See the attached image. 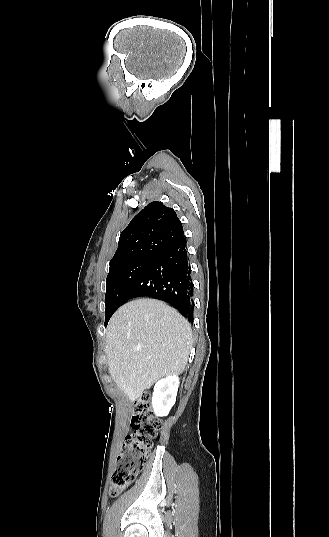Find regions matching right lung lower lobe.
Listing matches in <instances>:
<instances>
[{"label":"right lung lower lobe","mask_w":329,"mask_h":537,"mask_svg":"<svg viewBox=\"0 0 329 537\" xmlns=\"http://www.w3.org/2000/svg\"><path fill=\"white\" fill-rule=\"evenodd\" d=\"M143 296L168 302L193 321V284L185 237L152 260L126 291L121 304Z\"/></svg>","instance_id":"98d812e1"}]
</instances>
